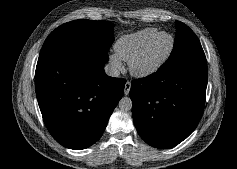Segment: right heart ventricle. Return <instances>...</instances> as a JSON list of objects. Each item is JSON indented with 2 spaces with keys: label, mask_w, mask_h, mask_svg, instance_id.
Here are the masks:
<instances>
[{
  "label": "right heart ventricle",
  "mask_w": 237,
  "mask_h": 169,
  "mask_svg": "<svg viewBox=\"0 0 237 169\" xmlns=\"http://www.w3.org/2000/svg\"><path fill=\"white\" fill-rule=\"evenodd\" d=\"M157 33H159V30L152 27L121 36L114 45L116 55L121 60L130 62L141 48Z\"/></svg>",
  "instance_id": "1"
}]
</instances>
